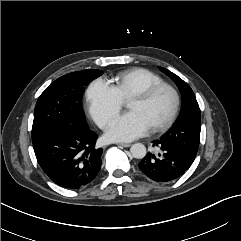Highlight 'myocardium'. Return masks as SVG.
<instances>
[{"label": "myocardium", "instance_id": "f54148a6", "mask_svg": "<svg viewBox=\"0 0 241 241\" xmlns=\"http://www.w3.org/2000/svg\"><path fill=\"white\" fill-rule=\"evenodd\" d=\"M163 89H167L171 92L173 96V108L169 117L163 123L152 127L153 131H156V132H161L169 129L173 125V123L175 122L178 116L179 109H180V95L177 89L169 83L161 82L145 88L144 90L136 93L130 98V101L131 100L148 101L156 93H158L160 90H163Z\"/></svg>", "mask_w": 241, "mask_h": 241}]
</instances>
